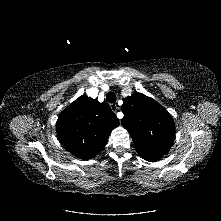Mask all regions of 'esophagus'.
<instances>
[{
  "mask_svg": "<svg viewBox=\"0 0 221 221\" xmlns=\"http://www.w3.org/2000/svg\"><path fill=\"white\" fill-rule=\"evenodd\" d=\"M110 108L113 112H117L119 107L116 104H110Z\"/></svg>",
  "mask_w": 221,
  "mask_h": 221,
  "instance_id": "obj_1",
  "label": "esophagus"
}]
</instances>
